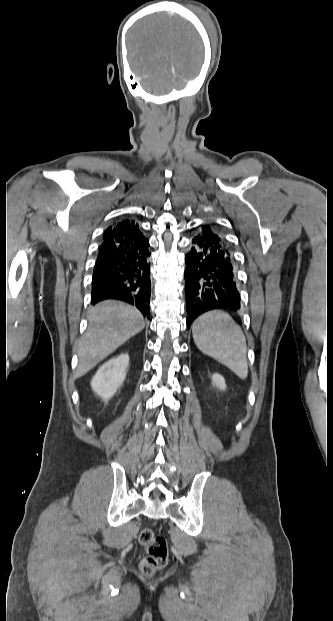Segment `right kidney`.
<instances>
[{"instance_id":"ca27d5eb","label":"right kidney","mask_w":333,"mask_h":621,"mask_svg":"<svg viewBox=\"0 0 333 621\" xmlns=\"http://www.w3.org/2000/svg\"><path fill=\"white\" fill-rule=\"evenodd\" d=\"M128 365V354H121L105 362L92 378L94 392L107 402L123 384Z\"/></svg>"}]
</instances>
